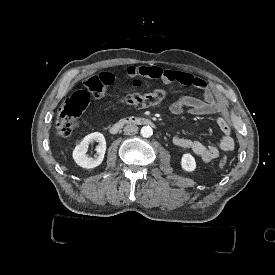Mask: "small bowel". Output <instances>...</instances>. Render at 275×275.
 Wrapping results in <instances>:
<instances>
[{
  "mask_svg": "<svg viewBox=\"0 0 275 275\" xmlns=\"http://www.w3.org/2000/svg\"><path fill=\"white\" fill-rule=\"evenodd\" d=\"M129 73L136 84H138L141 79H151L164 83H179L187 86L192 85L202 91V99L192 96H182L175 100L169 107L173 115H180L185 110L193 116L220 115L217 119V123L224 135L219 141L213 144H205L197 140L176 136L173 139L176 146L191 150L204 162H211L217 159L222 151L234 149L235 141L232 136V128L228 120L224 117L226 107L216 99L213 90L204 80L193 77L187 72L161 69L154 66L131 67ZM99 78L106 86L115 84V77L111 71H103Z\"/></svg>",
  "mask_w": 275,
  "mask_h": 275,
  "instance_id": "small-bowel-1",
  "label": "small bowel"
}]
</instances>
